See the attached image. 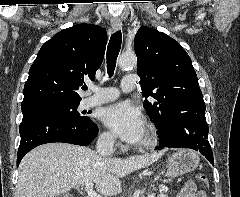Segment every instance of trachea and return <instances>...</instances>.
Returning <instances> with one entry per match:
<instances>
[{"instance_id": "1", "label": "trachea", "mask_w": 240, "mask_h": 197, "mask_svg": "<svg viewBox=\"0 0 240 197\" xmlns=\"http://www.w3.org/2000/svg\"><path fill=\"white\" fill-rule=\"evenodd\" d=\"M122 43V34L120 31H116L110 38L108 47H107V73L111 77L114 73V69L116 66L117 57L120 52ZM86 90L87 87L85 86Z\"/></svg>"}]
</instances>
